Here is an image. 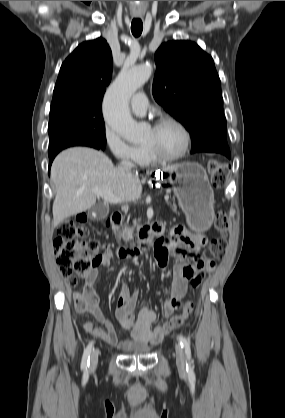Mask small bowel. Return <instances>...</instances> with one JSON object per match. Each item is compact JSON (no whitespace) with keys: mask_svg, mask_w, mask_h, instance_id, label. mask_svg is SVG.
<instances>
[{"mask_svg":"<svg viewBox=\"0 0 285 418\" xmlns=\"http://www.w3.org/2000/svg\"><path fill=\"white\" fill-rule=\"evenodd\" d=\"M155 230L159 236L158 240H161L167 248L168 255L178 259L191 258L196 262L195 265L181 262L173 268V289L164 302L162 309L163 316L169 317L175 309L181 306L182 298L186 292L199 287L206 272L209 271L208 266L212 262L201 260L198 254V249L207 242L206 237L186 231L182 234L175 232L171 237H166L160 226H156ZM190 242L195 244V248L189 245ZM167 259L162 262L157 261L158 266L162 270H165L168 266ZM114 265H116V262L112 256V251L110 249L105 250L97 265L88 274L82 290L72 294L75 311L80 315L90 314L102 324V327H96L92 322L87 321L84 323L85 331L124 351L136 350L161 343L166 334L158 331L161 326L155 329L152 328L156 318L155 312L151 308L144 306L138 313H135L138 294L131 292L124 281L122 282L114 311L121 325L125 329L131 330V338L119 340L114 323L101 311L100 297L94 288V281L101 267Z\"/></svg>","mask_w":285,"mask_h":418,"instance_id":"small-bowel-1","label":"small bowel"}]
</instances>
